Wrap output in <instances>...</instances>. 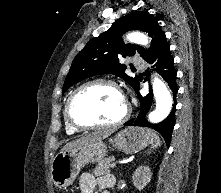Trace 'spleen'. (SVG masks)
I'll list each match as a JSON object with an SVG mask.
<instances>
[{
    "instance_id": "obj_1",
    "label": "spleen",
    "mask_w": 221,
    "mask_h": 193,
    "mask_svg": "<svg viewBox=\"0 0 221 193\" xmlns=\"http://www.w3.org/2000/svg\"><path fill=\"white\" fill-rule=\"evenodd\" d=\"M150 144L153 149L161 146V140L156 132H151Z\"/></svg>"
}]
</instances>
